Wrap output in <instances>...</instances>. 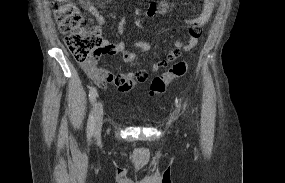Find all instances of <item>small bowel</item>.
<instances>
[{
	"label": "small bowel",
	"instance_id": "small-bowel-1",
	"mask_svg": "<svg viewBox=\"0 0 285 183\" xmlns=\"http://www.w3.org/2000/svg\"><path fill=\"white\" fill-rule=\"evenodd\" d=\"M202 10L197 16L190 17L186 20L189 29V38L187 42L180 40L175 41V48L167 53L163 59H155L150 64V71L157 72L161 68L167 67L170 63L178 60L183 52L193 49L200 38L202 29L208 25L213 16L216 0H201ZM81 6L88 11L97 21L99 26L106 22L101 8L105 6L104 0H97L94 4L91 0H79ZM168 10V3L165 0H153L147 10L149 17L163 16ZM125 22L122 20L118 26V32L123 33ZM151 46L147 42H134L126 44L123 41L111 42L107 39L102 40V46L93 59L82 64L86 75L91 78L100 88L106 89L112 85L121 94H127L137 85L147 81L148 73L146 70H137L135 72L114 73L108 69L97 66L98 58L102 55L117 56L123 63L132 64L138 54L147 53Z\"/></svg>",
	"mask_w": 285,
	"mask_h": 183
}]
</instances>
